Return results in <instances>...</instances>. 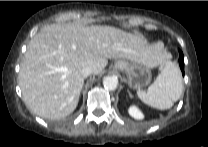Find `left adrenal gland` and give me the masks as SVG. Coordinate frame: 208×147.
<instances>
[{
  "instance_id": "1",
  "label": "left adrenal gland",
  "mask_w": 208,
  "mask_h": 147,
  "mask_svg": "<svg viewBox=\"0 0 208 147\" xmlns=\"http://www.w3.org/2000/svg\"><path fill=\"white\" fill-rule=\"evenodd\" d=\"M127 92H128V94H129V96L132 97V94L129 92V90H128Z\"/></svg>"
}]
</instances>
